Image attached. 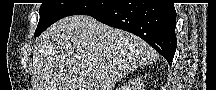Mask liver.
<instances>
[{
    "mask_svg": "<svg viewBox=\"0 0 216 90\" xmlns=\"http://www.w3.org/2000/svg\"><path fill=\"white\" fill-rule=\"evenodd\" d=\"M36 90H113L130 70L153 60L150 46L90 16H69L35 42Z\"/></svg>",
    "mask_w": 216,
    "mask_h": 90,
    "instance_id": "obj_1",
    "label": "liver"
}]
</instances>
